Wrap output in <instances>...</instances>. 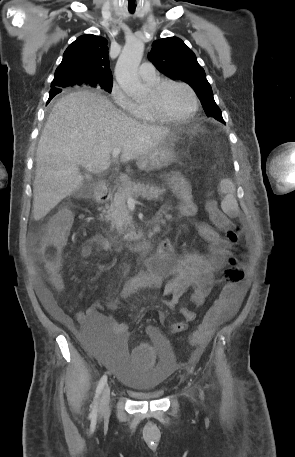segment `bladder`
<instances>
[{"instance_id":"bladder-1","label":"bladder","mask_w":295,"mask_h":457,"mask_svg":"<svg viewBox=\"0 0 295 457\" xmlns=\"http://www.w3.org/2000/svg\"><path fill=\"white\" fill-rule=\"evenodd\" d=\"M127 343V338H84L86 356H96L99 365H108L132 394L141 399L162 398L170 369L177 368V361L171 360L172 346L159 343L155 366H150L149 371H138L137 366H132Z\"/></svg>"}]
</instances>
